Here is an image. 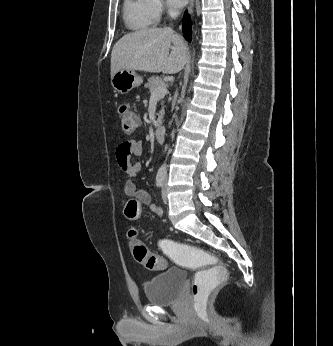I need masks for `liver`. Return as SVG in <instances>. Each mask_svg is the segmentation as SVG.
<instances>
[{"instance_id":"obj_1","label":"liver","mask_w":333,"mask_h":346,"mask_svg":"<svg viewBox=\"0 0 333 346\" xmlns=\"http://www.w3.org/2000/svg\"><path fill=\"white\" fill-rule=\"evenodd\" d=\"M188 60L183 38L169 28H147L124 35L111 53V77L121 69L175 74Z\"/></svg>"}]
</instances>
